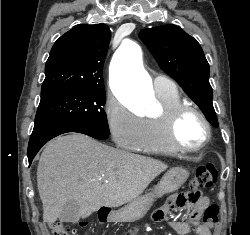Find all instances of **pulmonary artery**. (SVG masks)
<instances>
[{
	"label": "pulmonary artery",
	"mask_w": 250,
	"mask_h": 235,
	"mask_svg": "<svg viewBox=\"0 0 250 235\" xmlns=\"http://www.w3.org/2000/svg\"><path fill=\"white\" fill-rule=\"evenodd\" d=\"M154 90L157 93H171L176 90V85L164 76H156L153 80Z\"/></svg>",
	"instance_id": "e3ab8cb5"
}]
</instances>
